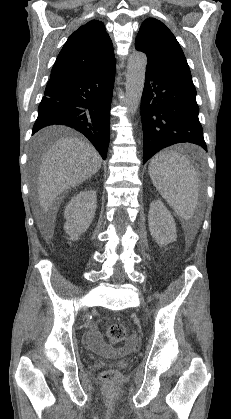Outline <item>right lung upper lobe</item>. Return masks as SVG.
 Instances as JSON below:
<instances>
[{"instance_id": "1", "label": "right lung upper lobe", "mask_w": 231, "mask_h": 419, "mask_svg": "<svg viewBox=\"0 0 231 419\" xmlns=\"http://www.w3.org/2000/svg\"><path fill=\"white\" fill-rule=\"evenodd\" d=\"M116 62L113 45L102 22L92 20L68 38L51 70L52 76L86 74Z\"/></svg>"}]
</instances>
